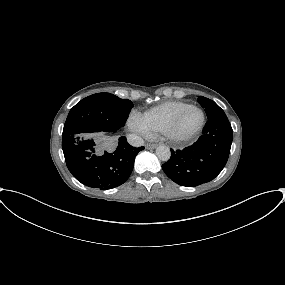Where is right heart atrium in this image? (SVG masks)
Returning <instances> with one entry per match:
<instances>
[{
  "instance_id": "right-heart-atrium-1",
  "label": "right heart atrium",
  "mask_w": 285,
  "mask_h": 285,
  "mask_svg": "<svg viewBox=\"0 0 285 285\" xmlns=\"http://www.w3.org/2000/svg\"><path fill=\"white\" fill-rule=\"evenodd\" d=\"M128 126L135 132L140 134H149L150 132L144 127V125L137 118V115H132L128 121Z\"/></svg>"
}]
</instances>
